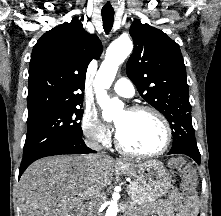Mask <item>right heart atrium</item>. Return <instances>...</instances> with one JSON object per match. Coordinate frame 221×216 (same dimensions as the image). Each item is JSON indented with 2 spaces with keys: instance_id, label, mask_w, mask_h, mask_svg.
Returning <instances> with one entry per match:
<instances>
[{
  "instance_id": "d8ad5b80",
  "label": "right heart atrium",
  "mask_w": 221,
  "mask_h": 216,
  "mask_svg": "<svg viewBox=\"0 0 221 216\" xmlns=\"http://www.w3.org/2000/svg\"><path fill=\"white\" fill-rule=\"evenodd\" d=\"M85 138L96 144L108 145L111 141V130L105 125L94 110H86L81 122Z\"/></svg>"
}]
</instances>
